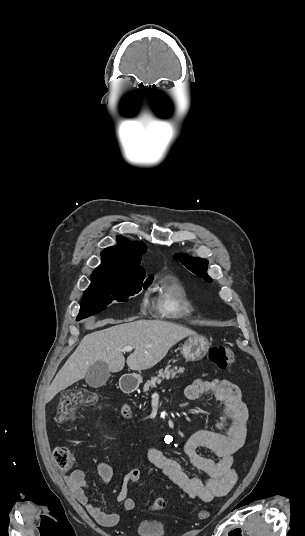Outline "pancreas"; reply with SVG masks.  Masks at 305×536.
<instances>
[{
    "instance_id": "pancreas-1",
    "label": "pancreas",
    "mask_w": 305,
    "mask_h": 536,
    "mask_svg": "<svg viewBox=\"0 0 305 536\" xmlns=\"http://www.w3.org/2000/svg\"><path fill=\"white\" fill-rule=\"evenodd\" d=\"M184 368H171V366H166L164 370H158L157 374L158 376H155V378H151V380H148L146 384H144L143 392H149V390H152V388H156V384H161L163 380H170V378H178L176 374H183Z\"/></svg>"
}]
</instances>
